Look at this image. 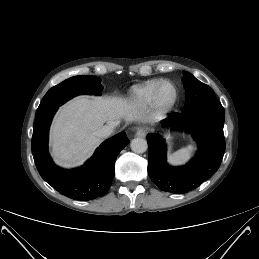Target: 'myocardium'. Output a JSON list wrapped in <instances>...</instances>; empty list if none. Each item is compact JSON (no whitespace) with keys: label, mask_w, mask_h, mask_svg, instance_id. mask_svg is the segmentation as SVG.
I'll list each match as a JSON object with an SVG mask.
<instances>
[{"label":"myocardium","mask_w":259,"mask_h":259,"mask_svg":"<svg viewBox=\"0 0 259 259\" xmlns=\"http://www.w3.org/2000/svg\"><path fill=\"white\" fill-rule=\"evenodd\" d=\"M165 86H169L172 89V97L167 101L161 98V91ZM177 98H178V91L176 86L172 82L165 80V81H162L155 90L154 97H153V105L158 110L169 111L176 104Z\"/></svg>","instance_id":"f54148a6"}]
</instances>
